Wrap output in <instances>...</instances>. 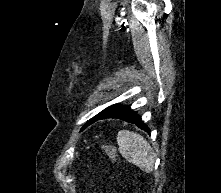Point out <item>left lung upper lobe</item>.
Masks as SVG:
<instances>
[{"mask_svg": "<svg viewBox=\"0 0 221 193\" xmlns=\"http://www.w3.org/2000/svg\"><path fill=\"white\" fill-rule=\"evenodd\" d=\"M107 109V108H106ZM106 109H104L102 112H100L99 114H97L95 117H93L88 123H86V125L84 127H86L87 125H89L90 123H92L98 116H100Z\"/></svg>", "mask_w": 221, "mask_h": 193, "instance_id": "1", "label": "left lung upper lobe"}]
</instances>
